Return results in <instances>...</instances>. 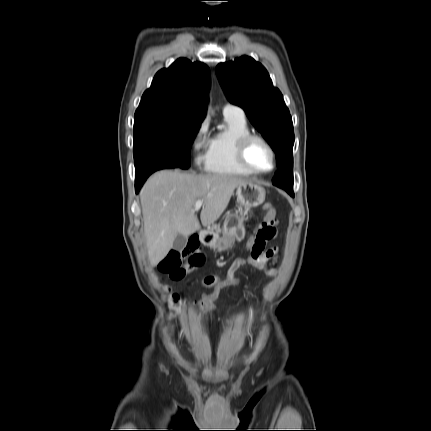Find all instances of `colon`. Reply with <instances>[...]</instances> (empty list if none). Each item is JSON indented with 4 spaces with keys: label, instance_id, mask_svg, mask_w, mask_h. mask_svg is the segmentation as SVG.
<instances>
[{
    "label": "colon",
    "instance_id": "1",
    "mask_svg": "<svg viewBox=\"0 0 431 431\" xmlns=\"http://www.w3.org/2000/svg\"><path fill=\"white\" fill-rule=\"evenodd\" d=\"M263 210L266 213V216L257 229V236L268 234L270 224L275 221L276 210L271 203L264 204ZM255 240V235H248L246 238V251H253ZM196 248L197 245L190 242L189 245L182 250L170 251L160 262V270L168 273L173 279H182L191 269L202 263L203 256L196 252Z\"/></svg>",
    "mask_w": 431,
    "mask_h": 431
}]
</instances>
